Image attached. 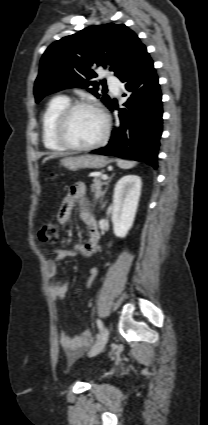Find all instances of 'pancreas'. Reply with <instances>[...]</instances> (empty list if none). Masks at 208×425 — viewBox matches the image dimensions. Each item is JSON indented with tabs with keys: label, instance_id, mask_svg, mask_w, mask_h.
<instances>
[{
	"label": "pancreas",
	"instance_id": "cf45deb5",
	"mask_svg": "<svg viewBox=\"0 0 208 425\" xmlns=\"http://www.w3.org/2000/svg\"><path fill=\"white\" fill-rule=\"evenodd\" d=\"M105 184H107V183L101 182L99 177L94 179L93 185L91 186V191L94 192V198L95 199H99L103 195L101 188Z\"/></svg>",
	"mask_w": 208,
	"mask_h": 425
}]
</instances>
